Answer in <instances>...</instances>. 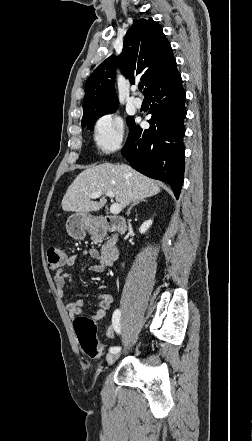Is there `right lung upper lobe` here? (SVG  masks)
<instances>
[{"label":"right lung upper lobe","mask_w":252,"mask_h":441,"mask_svg":"<svg viewBox=\"0 0 252 441\" xmlns=\"http://www.w3.org/2000/svg\"><path fill=\"white\" fill-rule=\"evenodd\" d=\"M175 61L170 43L161 26L152 18L135 19L124 39L120 56L104 60L87 79L82 124L118 105L114 88L115 67L134 83L140 78L144 94Z\"/></svg>","instance_id":"right-lung-upper-lobe-1"}]
</instances>
